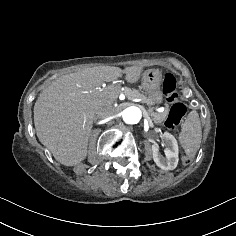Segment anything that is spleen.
Wrapping results in <instances>:
<instances>
[{
  "instance_id": "spleen-1",
  "label": "spleen",
  "mask_w": 236,
  "mask_h": 236,
  "mask_svg": "<svg viewBox=\"0 0 236 236\" xmlns=\"http://www.w3.org/2000/svg\"><path fill=\"white\" fill-rule=\"evenodd\" d=\"M202 131L199 116L196 111H191L182 124L178 142L187 156H194L201 143Z\"/></svg>"
}]
</instances>
